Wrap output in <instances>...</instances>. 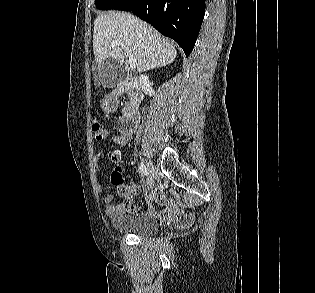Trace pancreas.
I'll return each mask as SVG.
<instances>
[{
    "mask_svg": "<svg viewBox=\"0 0 315 293\" xmlns=\"http://www.w3.org/2000/svg\"><path fill=\"white\" fill-rule=\"evenodd\" d=\"M127 94H128L129 101H127L125 103L124 111L129 110L131 107L136 106L140 102V98H139L137 90L134 86L131 85L128 88Z\"/></svg>",
    "mask_w": 315,
    "mask_h": 293,
    "instance_id": "pancreas-1",
    "label": "pancreas"
}]
</instances>
